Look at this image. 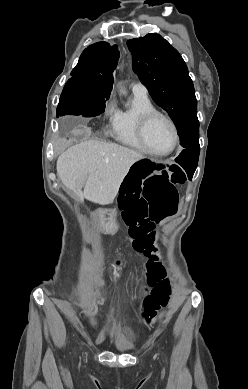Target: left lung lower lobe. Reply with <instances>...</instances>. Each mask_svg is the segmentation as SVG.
<instances>
[{"label": "left lung lower lobe", "instance_id": "1", "mask_svg": "<svg viewBox=\"0 0 248 389\" xmlns=\"http://www.w3.org/2000/svg\"><path fill=\"white\" fill-rule=\"evenodd\" d=\"M181 130L182 132L179 134L183 133L188 135L192 140L199 139V121L197 118V112H192L183 119ZM199 153L200 147L199 143H197L193 147L184 149L175 159V161L186 171L189 179H192L196 170Z\"/></svg>", "mask_w": 248, "mask_h": 389}]
</instances>
